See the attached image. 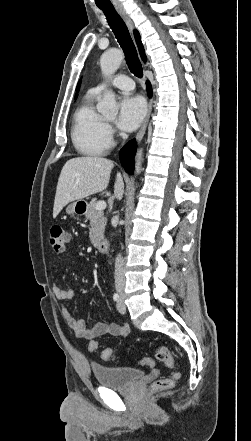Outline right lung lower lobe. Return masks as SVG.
<instances>
[{
  "label": "right lung lower lobe",
  "instance_id": "1",
  "mask_svg": "<svg viewBox=\"0 0 251 441\" xmlns=\"http://www.w3.org/2000/svg\"><path fill=\"white\" fill-rule=\"evenodd\" d=\"M147 85L148 94L151 95V85L149 82H147ZM135 152L136 143L135 140H132L127 143L119 153L121 164L129 174H133Z\"/></svg>",
  "mask_w": 251,
  "mask_h": 441
}]
</instances>
